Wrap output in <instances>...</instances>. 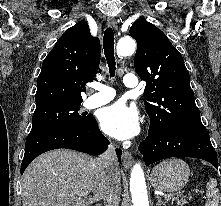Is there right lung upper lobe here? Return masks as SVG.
<instances>
[{"label":"right lung upper lobe","instance_id":"1","mask_svg":"<svg viewBox=\"0 0 221 206\" xmlns=\"http://www.w3.org/2000/svg\"><path fill=\"white\" fill-rule=\"evenodd\" d=\"M100 42L86 22L66 30L44 59L37 79L36 107L80 103L85 85L92 82L100 63Z\"/></svg>","mask_w":221,"mask_h":206}]
</instances>
